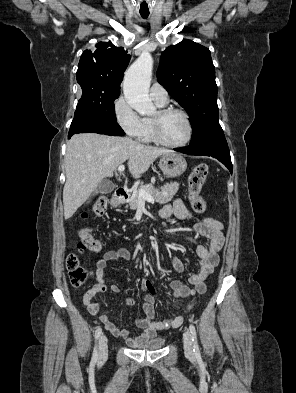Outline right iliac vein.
I'll return each mask as SVG.
<instances>
[{
	"mask_svg": "<svg viewBox=\"0 0 296 393\" xmlns=\"http://www.w3.org/2000/svg\"><path fill=\"white\" fill-rule=\"evenodd\" d=\"M108 356V340L103 334L99 339V361H103Z\"/></svg>",
	"mask_w": 296,
	"mask_h": 393,
	"instance_id": "1",
	"label": "right iliac vein"
}]
</instances>
